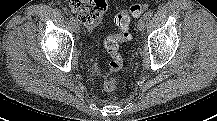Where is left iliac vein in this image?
<instances>
[{
	"label": "left iliac vein",
	"instance_id": "4c4485c4",
	"mask_svg": "<svg viewBox=\"0 0 217 121\" xmlns=\"http://www.w3.org/2000/svg\"><path fill=\"white\" fill-rule=\"evenodd\" d=\"M147 26V20L145 18H141L139 21H138V29L140 31H143Z\"/></svg>",
	"mask_w": 217,
	"mask_h": 121
}]
</instances>
